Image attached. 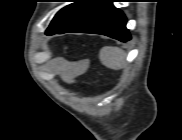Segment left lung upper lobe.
Segmentation results:
<instances>
[{
  "label": "left lung upper lobe",
  "mask_w": 182,
  "mask_h": 140,
  "mask_svg": "<svg viewBox=\"0 0 182 140\" xmlns=\"http://www.w3.org/2000/svg\"><path fill=\"white\" fill-rule=\"evenodd\" d=\"M62 8L51 21L47 35L62 34L102 6L107 0H73Z\"/></svg>",
  "instance_id": "5c2ea615"
}]
</instances>
